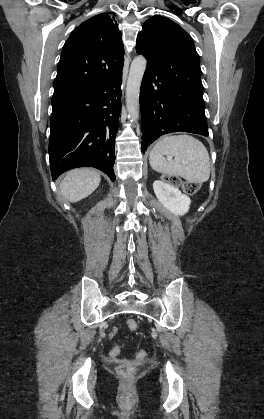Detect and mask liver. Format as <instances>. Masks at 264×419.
Masks as SVG:
<instances>
[{"instance_id": "1", "label": "liver", "mask_w": 264, "mask_h": 419, "mask_svg": "<svg viewBox=\"0 0 264 419\" xmlns=\"http://www.w3.org/2000/svg\"><path fill=\"white\" fill-rule=\"evenodd\" d=\"M100 174L92 169L79 168L66 173L60 183L62 195L70 202H78L92 194L100 184Z\"/></svg>"}]
</instances>
